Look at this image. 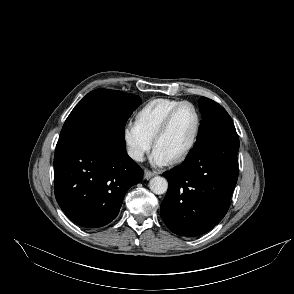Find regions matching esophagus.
Segmentation results:
<instances>
[{
    "label": "esophagus",
    "mask_w": 294,
    "mask_h": 294,
    "mask_svg": "<svg viewBox=\"0 0 294 294\" xmlns=\"http://www.w3.org/2000/svg\"><path fill=\"white\" fill-rule=\"evenodd\" d=\"M155 175H156L155 172H152V171H150L148 169L144 170V178L147 179V180L150 179L151 177L155 176Z\"/></svg>",
    "instance_id": "34e87169"
}]
</instances>
